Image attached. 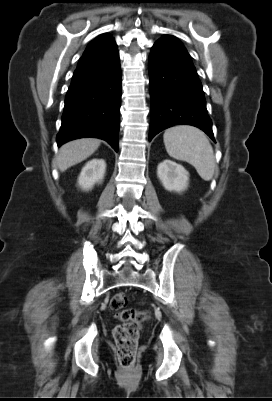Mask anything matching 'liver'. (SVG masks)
<instances>
[{"label":"liver","mask_w":272,"mask_h":401,"mask_svg":"<svg viewBox=\"0 0 272 401\" xmlns=\"http://www.w3.org/2000/svg\"><path fill=\"white\" fill-rule=\"evenodd\" d=\"M101 141L95 138H82L64 144L56 158L57 167L64 172L89 156H91L100 146Z\"/></svg>","instance_id":"1"}]
</instances>
